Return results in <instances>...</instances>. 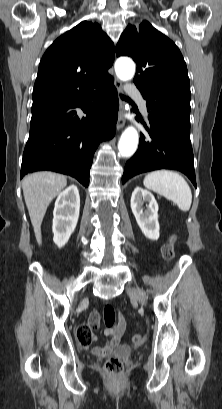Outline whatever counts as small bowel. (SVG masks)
Here are the masks:
<instances>
[{
  "label": "small bowel",
  "mask_w": 222,
  "mask_h": 409,
  "mask_svg": "<svg viewBox=\"0 0 222 409\" xmlns=\"http://www.w3.org/2000/svg\"><path fill=\"white\" fill-rule=\"evenodd\" d=\"M100 318L99 314L96 311H93L88 320L87 327L92 333L91 342L89 344H83L85 347H89L92 343L96 341V336L93 334V330L99 328ZM126 328V320L122 314H118L117 322L114 323L112 327L105 329L104 334L108 337V341L103 347H93L92 352L95 355L101 356L111 352L115 349L119 343L122 335L124 334Z\"/></svg>",
  "instance_id": "obj_1"
}]
</instances>
